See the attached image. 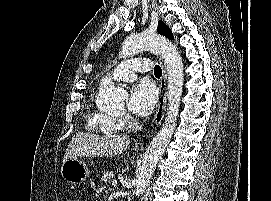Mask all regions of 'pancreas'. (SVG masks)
I'll return each instance as SVG.
<instances>
[{
	"label": "pancreas",
	"mask_w": 271,
	"mask_h": 201,
	"mask_svg": "<svg viewBox=\"0 0 271 201\" xmlns=\"http://www.w3.org/2000/svg\"><path fill=\"white\" fill-rule=\"evenodd\" d=\"M114 178V173L113 171H107L104 173V175L101 178V181L104 182L105 184H108L111 182V179Z\"/></svg>",
	"instance_id": "1"
}]
</instances>
